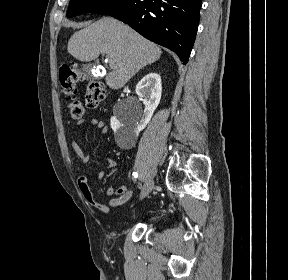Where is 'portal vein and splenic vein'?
<instances>
[{
    "label": "portal vein and splenic vein",
    "instance_id": "obj_1",
    "mask_svg": "<svg viewBox=\"0 0 288 280\" xmlns=\"http://www.w3.org/2000/svg\"><path fill=\"white\" fill-rule=\"evenodd\" d=\"M106 58H107V61L109 63V66L111 68H113L114 67V61L108 55H106Z\"/></svg>",
    "mask_w": 288,
    "mask_h": 280
}]
</instances>
